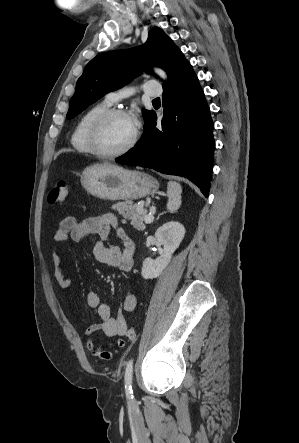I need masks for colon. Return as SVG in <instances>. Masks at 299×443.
Returning <instances> with one entry per match:
<instances>
[{"instance_id":"obj_1","label":"colon","mask_w":299,"mask_h":443,"mask_svg":"<svg viewBox=\"0 0 299 443\" xmlns=\"http://www.w3.org/2000/svg\"><path fill=\"white\" fill-rule=\"evenodd\" d=\"M69 192V186L66 181L60 180L54 184L48 195V203L52 206L61 205L65 202ZM125 337L130 342L137 340V332L131 327L126 330Z\"/></svg>"}]
</instances>
